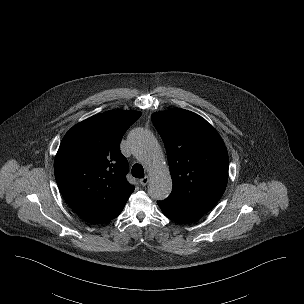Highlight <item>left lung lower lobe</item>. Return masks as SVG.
Here are the masks:
<instances>
[{
    "mask_svg": "<svg viewBox=\"0 0 304 304\" xmlns=\"http://www.w3.org/2000/svg\"><path fill=\"white\" fill-rule=\"evenodd\" d=\"M157 203L166 217L179 223L194 222L204 215L169 199L158 201Z\"/></svg>",
    "mask_w": 304,
    "mask_h": 304,
    "instance_id": "obj_1",
    "label": "left lung lower lobe"
}]
</instances>
